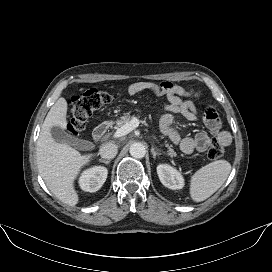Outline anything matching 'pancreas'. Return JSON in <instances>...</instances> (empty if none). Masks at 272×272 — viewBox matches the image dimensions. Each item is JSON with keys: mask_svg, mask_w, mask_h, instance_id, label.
I'll return each instance as SVG.
<instances>
[{"mask_svg": "<svg viewBox=\"0 0 272 272\" xmlns=\"http://www.w3.org/2000/svg\"><path fill=\"white\" fill-rule=\"evenodd\" d=\"M133 119L132 116H130L129 113H125L124 116H122L120 119H118L116 121V127L117 128H121L123 125H125L126 123L130 122ZM163 138V137H162ZM165 147H167L168 149V155L170 156H176V153L174 152V150L172 149V145L168 144L167 142H165Z\"/></svg>", "mask_w": 272, "mask_h": 272, "instance_id": "cf45deb5", "label": "pancreas"}]
</instances>
